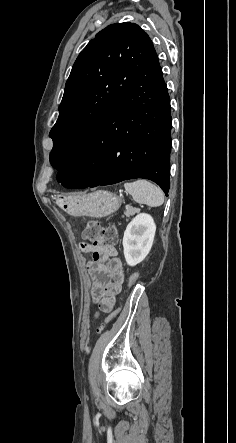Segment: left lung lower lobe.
Returning a JSON list of instances; mask_svg holds the SVG:
<instances>
[{
	"mask_svg": "<svg viewBox=\"0 0 236 443\" xmlns=\"http://www.w3.org/2000/svg\"><path fill=\"white\" fill-rule=\"evenodd\" d=\"M170 98L156 51L118 102L58 171L67 188L145 178L168 195L171 151Z\"/></svg>",
	"mask_w": 236,
	"mask_h": 443,
	"instance_id": "left-lung-lower-lobe-1",
	"label": "left lung lower lobe"
}]
</instances>
